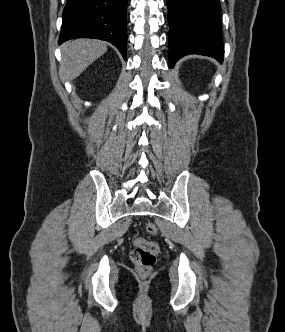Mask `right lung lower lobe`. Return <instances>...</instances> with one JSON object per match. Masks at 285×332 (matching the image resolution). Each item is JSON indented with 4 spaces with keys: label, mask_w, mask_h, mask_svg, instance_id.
Instances as JSON below:
<instances>
[{
    "label": "right lung lower lobe",
    "mask_w": 285,
    "mask_h": 332,
    "mask_svg": "<svg viewBox=\"0 0 285 332\" xmlns=\"http://www.w3.org/2000/svg\"><path fill=\"white\" fill-rule=\"evenodd\" d=\"M128 0H67L59 44L73 38H96L115 45L126 59Z\"/></svg>",
    "instance_id": "right-lung-lower-lobe-1"
}]
</instances>
